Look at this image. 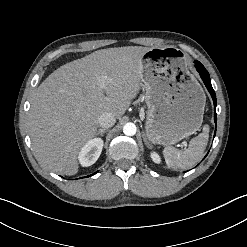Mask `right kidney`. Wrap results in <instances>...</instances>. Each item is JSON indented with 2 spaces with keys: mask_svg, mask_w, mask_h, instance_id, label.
Here are the masks:
<instances>
[{
  "mask_svg": "<svg viewBox=\"0 0 247 247\" xmlns=\"http://www.w3.org/2000/svg\"><path fill=\"white\" fill-rule=\"evenodd\" d=\"M103 148V140L100 138H94L89 140L81 148L78 159L83 167L93 165L99 158Z\"/></svg>",
  "mask_w": 247,
  "mask_h": 247,
  "instance_id": "obj_1",
  "label": "right kidney"
}]
</instances>
